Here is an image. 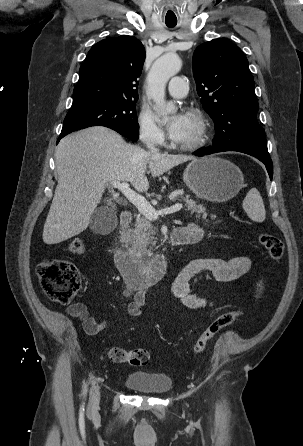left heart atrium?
I'll return each instance as SVG.
<instances>
[{"label": "left heart atrium", "instance_id": "39dd6f15", "mask_svg": "<svg viewBox=\"0 0 303 446\" xmlns=\"http://www.w3.org/2000/svg\"><path fill=\"white\" fill-rule=\"evenodd\" d=\"M186 115L177 114L173 116L167 124L168 135L171 139L178 141L185 131Z\"/></svg>", "mask_w": 303, "mask_h": 446}]
</instances>
